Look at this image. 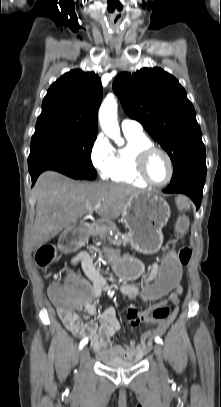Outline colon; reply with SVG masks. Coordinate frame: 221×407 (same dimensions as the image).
Listing matches in <instances>:
<instances>
[{
  "label": "colon",
  "mask_w": 221,
  "mask_h": 407,
  "mask_svg": "<svg viewBox=\"0 0 221 407\" xmlns=\"http://www.w3.org/2000/svg\"><path fill=\"white\" fill-rule=\"evenodd\" d=\"M176 205L180 210L189 208V200L186 196H178ZM93 222L87 220H79L71 222L68 230L61 234L60 253L63 255H73L75 249H82L86 244V239L89 238V231H93ZM187 229V221L185 218H180L176 224V231L179 236L183 235ZM57 250L54 246L46 245L41 247L36 254L37 263L45 267L52 263L56 258ZM192 255V251L188 247L181 248L178 252H165L164 258L159 262V271L157 277L147 284V291H143L140 297L143 300H149V303H154V300H159L164 297L163 292H175L176 286L181 285V277L183 276L182 266L188 264ZM48 294L58 312L67 314L74 312L80 305V293L77 286L76 278L67 279L65 285L52 284L48 289ZM169 311V306L164 307L158 305L151 314L142 315L147 318V322L151 319H159L165 317Z\"/></svg>",
  "instance_id": "colon-1"
}]
</instances>
